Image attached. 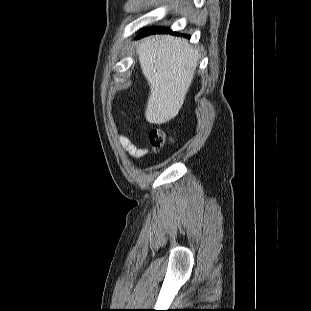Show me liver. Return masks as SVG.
Masks as SVG:
<instances>
[{
  "label": "liver",
  "instance_id": "1",
  "mask_svg": "<svg viewBox=\"0 0 311 311\" xmlns=\"http://www.w3.org/2000/svg\"><path fill=\"white\" fill-rule=\"evenodd\" d=\"M137 53L150 86L146 120L151 124L166 123L183 105L198 65V52L186 39L156 35L143 39Z\"/></svg>",
  "mask_w": 311,
  "mask_h": 311
}]
</instances>
